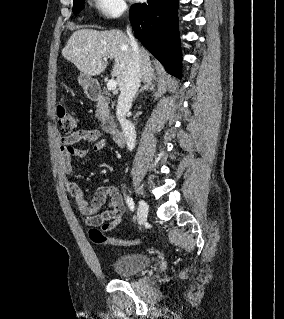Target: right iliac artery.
<instances>
[{"instance_id":"obj_1","label":"right iliac artery","mask_w":284,"mask_h":319,"mask_svg":"<svg viewBox=\"0 0 284 319\" xmlns=\"http://www.w3.org/2000/svg\"><path fill=\"white\" fill-rule=\"evenodd\" d=\"M126 203L128 205V207L130 208L131 211H134L135 206H134V202L132 200V198H130L129 196L126 198Z\"/></svg>"}]
</instances>
